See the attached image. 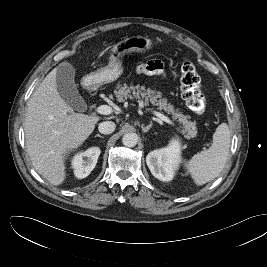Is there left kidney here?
Wrapping results in <instances>:
<instances>
[{
  "instance_id": "1",
  "label": "left kidney",
  "mask_w": 267,
  "mask_h": 267,
  "mask_svg": "<svg viewBox=\"0 0 267 267\" xmlns=\"http://www.w3.org/2000/svg\"><path fill=\"white\" fill-rule=\"evenodd\" d=\"M180 142L172 139L166 148L154 150L146 157L152 175L163 182L171 181L180 162Z\"/></svg>"
}]
</instances>
